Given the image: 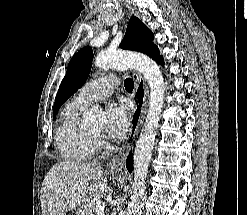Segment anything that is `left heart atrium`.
Returning <instances> with one entry per match:
<instances>
[{
    "label": "left heart atrium",
    "instance_id": "obj_1",
    "mask_svg": "<svg viewBox=\"0 0 247 215\" xmlns=\"http://www.w3.org/2000/svg\"><path fill=\"white\" fill-rule=\"evenodd\" d=\"M128 105L125 101L111 103L106 109L105 133L108 137L118 139L129 129Z\"/></svg>",
    "mask_w": 247,
    "mask_h": 215
}]
</instances>
